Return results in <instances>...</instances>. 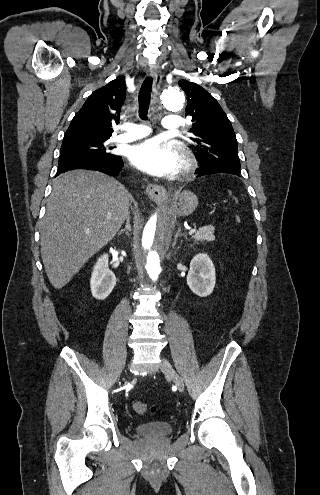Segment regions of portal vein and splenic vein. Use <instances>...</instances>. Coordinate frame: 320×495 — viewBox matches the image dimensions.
I'll use <instances>...</instances> for the list:
<instances>
[{
	"instance_id": "1",
	"label": "portal vein and splenic vein",
	"mask_w": 320,
	"mask_h": 495,
	"mask_svg": "<svg viewBox=\"0 0 320 495\" xmlns=\"http://www.w3.org/2000/svg\"><path fill=\"white\" fill-rule=\"evenodd\" d=\"M195 232H196V229H191V230L189 231V234H190V235H192V234H193V233H195Z\"/></svg>"
}]
</instances>
